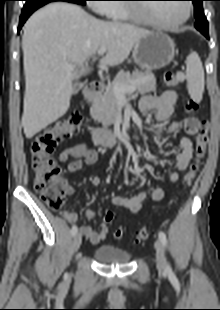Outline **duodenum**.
<instances>
[{
    "label": "duodenum",
    "mask_w": 220,
    "mask_h": 310,
    "mask_svg": "<svg viewBox=\"0 0 220 310\" xmlns=\"http://www.w3.org/2000/svg\"><path fill=\"white\" fill-rule=\"evenodd\" d=\"M102 89L103 83L101 81H92L85 91L86 100L89 102H94L97 96L101 93ZM91 137L95 144L109 148L116 146L123 139V135L121 133L112 132L107 129H94L91 132Z\"/></svg>",
    "instance_id": "duodenum-1"
}]
</instances>
